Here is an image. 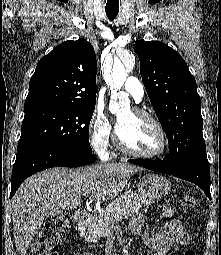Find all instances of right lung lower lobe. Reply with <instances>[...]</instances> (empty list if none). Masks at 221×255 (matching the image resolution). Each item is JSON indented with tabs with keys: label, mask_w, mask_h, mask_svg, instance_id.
Returning a JSON list of instances; mask_svg holds the SVG:
<instances>
[{
	"label": "right lung lower lobe",
	"mask_w": 221,
	"mask_h": 255,
	"mask_svg": "<svg viewBox=\"0 0 221 255\" xmlns=\"http://www.w3.org/2000/svg\"><path fill=\"white\" fill-rule=\"evenodd\" d=\"M92 153L36 142H19L12 170L10 198L21 183L32 174L51 167H78L95 162Z\"/></svg>",
	"instance_id": "1"
}]
</instances>
